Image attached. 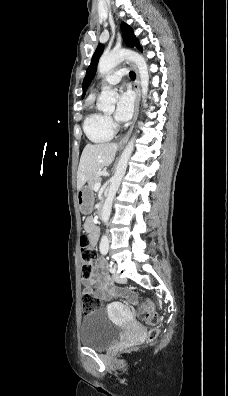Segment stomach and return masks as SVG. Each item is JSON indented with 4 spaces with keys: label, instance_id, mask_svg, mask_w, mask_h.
I'll list each match as a JSON object with an SVG mask.
<instances>
[{
    "label": "stomach",
    "instance_id": "stomach-1",
    "mask_svg": "<svg viewBox=\"0 0 228 396\" xmlns=\"http://www.w3.org/2000/svg\"><path fill=\"white\" fill-rule=\"evenodd\" d=\"M77 202L82 214L88 215L93 210L94 192L89 186H83L77 192Z\"/></svg>",
    "mask_w": 228,
    "mask_h": 396
}]
</instances>
